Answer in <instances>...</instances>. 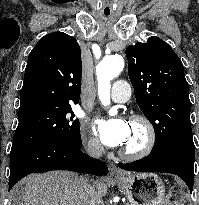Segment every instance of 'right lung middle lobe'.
<instances>
[{
  "mask_svg": "<svg viewBox=\"0 0 199 205\" xmlns=\"http://www.w3.org/2000/svg\"><path fill=\"white\" fill-rule=\"evenodd\" d=\"M71 106L72 104L43 105L19 111V123L10 156L53 142L79 145L80 124L74 119Z\"/></svg>",
  "mask_w": 199,
  "mask_h": 205,
  "instance_id": "1",
  "label": "right lung middle lobe"
}]
</instances>
